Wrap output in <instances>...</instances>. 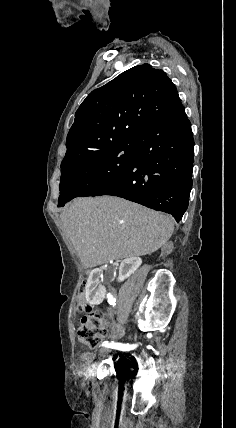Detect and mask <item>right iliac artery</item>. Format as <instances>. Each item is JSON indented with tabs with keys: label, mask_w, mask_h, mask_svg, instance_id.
I'll return each instance as SVG.
<instances>
[{
	"label": "right iliac artery",
	"mask_w": 236,
	"mask_h": 428,
	"mask_svg": "<svg viewBox=\"0 0 236 428\" xmlns=\"http://www.w3.org/2000/svg\"><path fill=\"white\" fill-rule=\"evenodd\" d=\"M107 298H108V303L110 305H113V306L116 305V303H115L116 299L113 298V296L110 293L107 294ZM102 346L112 348V349L121 350V351H130V350H133L137 347L136 344L129 345V344H122V343H114V342L109 343L108 341L103 342Z\"/></svg>",
	"instance_id": "1"
}]
</instances>
